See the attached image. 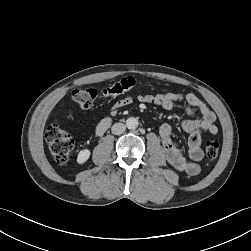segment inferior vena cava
<instances>
[{
    "mask_svg": "<svg viewBox=\"0 0 251 251\" xmlns=\"http://www.w3.org/2000/svg\"><path fill=\"white\" fill-rule=\"evenodd\" d=\"M126 130V125L123 123H115L112 126V133L115 135H120Z\"/></svg>",
    "mask_w": 251,
    "mask_h": 251,
    "instance_id": "obj_1",
    "label": "inferior vena cava"
}]
</instances>
